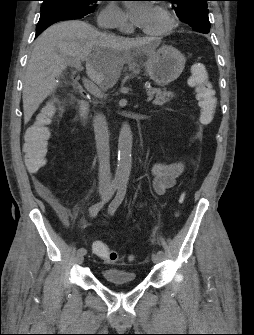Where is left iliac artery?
<instances>
[{
    "instance_id": "left-iliac-artery-1",
    "label": "left iliac artery",
    "mask_w": 254,
    "mask_h": 335,
    "mask_svg": "<svg viewBox=\"0 0 254 335\" xmlns=\"http://www.w3.org/2000/svg\"><path fill=\"white\" fill-rule=\"evenodd\" d=\"M126 188L127 185L126 183H121L118 186V192L115 196V198L113 199V201L110 203L109 208H108V212L113 215L115 213V211L117 210V208L120 206V204L122 203L125 194H126ZM157 255H159L160 257L164 256V251L162 249H158L156 252Z\"/></svg>"
}]
</instances>
